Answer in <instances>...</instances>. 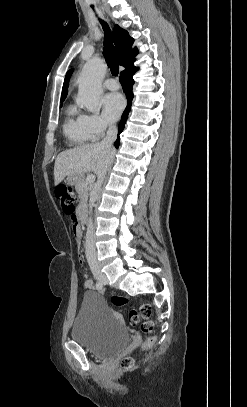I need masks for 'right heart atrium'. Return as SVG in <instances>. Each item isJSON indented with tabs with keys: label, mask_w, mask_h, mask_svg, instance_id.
<instances>
[{
	"label": "right heart atrium",
	"mask_w": 247,
	"mask_h": 407,
	"mask_svg": "<svg viewBox=\"0 0 247 407\" xmlns=\"http://www.w3.org/2000/svg\"><path fill=\"white\" fill-rule=\"evenodd\" d=\"M85 120L92 140L99 139L111 127V123L99 114L85 115Z\"/></svg>",
	"instance_id": "d8ad5b80"
}]
</instances>
